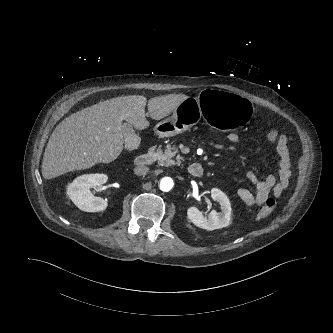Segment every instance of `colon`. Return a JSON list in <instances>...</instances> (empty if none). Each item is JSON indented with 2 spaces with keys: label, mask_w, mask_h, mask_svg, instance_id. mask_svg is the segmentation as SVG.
<instances>
[{
  "label": "colon",
  "mask_w": 333,
  "mask_h": 333,
  "mask_svg": "<svg viewBox=\"0 0 333 333\" xmlns=\"http://www.w3.org/2000/svg\"><path fill=\"white\" fill-rule=\"evenodd\" d=\"M280 137L281 134L275 129H271L267 133V140L270 142H276L279 140ZM275 206H276L275 200L273 198H267L258 213V217L264 218L268 216L275 209Z\"/></svg>",
  "instance_id": "5ec220e1"
}]
</instances>
